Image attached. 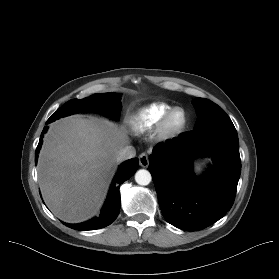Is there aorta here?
<instances>
[{"instance_id":"aorta-1","label":"aorta","mask_w":279,"mask_h":279,"mask_svg":"<svg viewBox=\"0 0 279 279\" xmlns=\"http://www.w3.org/2000/svg\"><path fill=\"white\" fill-rule=\"evenodd\" d=\"M152 180L151 174L148 170L140 169L135 174V181L137 184L145 186L148 185Z\"/></svg>"}]
</instances>
